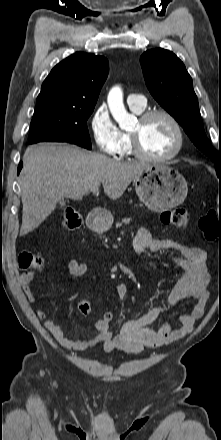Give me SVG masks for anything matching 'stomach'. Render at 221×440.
Returning a JSON list of instances; mask_svg holds the SVG:
<instances>
[{
    "mask_svg": "<svg viewBox=\"0 0 221 440\" xmlns=\"http://www.w3.org/2000/svg\"><path fill=\"white\" fill-rule=\"evenodd\" d=\"M139 199L152 211L164 212L180 205L186 198L185 178L167 165H150L134 179ZM111 219L102 221L106 225Z\"/></svg>",
    "mask_w": 221,
    "mask_h": 440,
    "instance_id": "stomach-1",
    "label": "stomach"
}]
</instances>
